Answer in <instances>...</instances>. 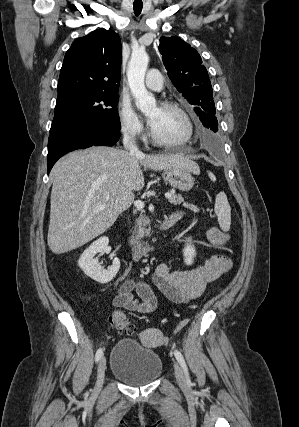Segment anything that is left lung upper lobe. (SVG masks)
Masks as SVG:
<instances>
[{"instance_id":"left-lung-upper-lobe-1","label":"left lung upper lobe","mask_w":299,"mask_h":427,"mask_svg":"<svg viewBox=\"0 0 299 427\" xmlns=\"http://www.w3.org/2000/svg\"><path fill=\"white\" fill-rule=\"evenodd\" d=\"M159 51L176 89L195 106L204 127L218 131L213 90L198 52L178 37H161Z\"/></svg>"}]
</instances>
